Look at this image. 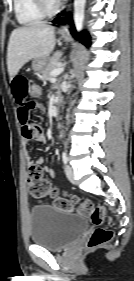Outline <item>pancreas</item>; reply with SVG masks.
I'll return each instance as SVG.
<instances>
[{
	"mask_svg": "<svg viewBox=\"0 0 134 281\" xmlns=\"http://www.w3.org/2000/svg\"><path fill=\"white\" fill-rule=\"evenodd\" d=\"M62 53L61 52H56L48 61L47 66L45 67V69L41 72L42 73V77L45 80H51L53 78V76L51 75V72L54 69H57L60 64H59V59L61 57Z\"/></svg>",
	"mask_w": 134,
	"mask_h": 281,
	"instance_id": "obj_1",
	"label": "pancreas"
}]
</instances>
